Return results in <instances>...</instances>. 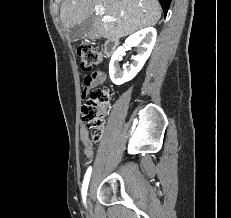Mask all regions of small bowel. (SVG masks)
I'll return each mask as SVG.
<instances>
[{
  "label": "small bowel",
  "mask_w": 231,
  "mask_h": 218,
  "mask_svg": "<svg viewBox=\"0 0 231 218\" xmlns=\"http://www.w3.org/2000/svg\"><path fill=\"white\" fill-rule=\"evenodd\" d=\"M90 74L92 75L86 76L84 79L83 97H85L92 88L101 85L106 80V74L103 71H99V69H90ZM79 140L85 156L90 158L94 153V144L89 137L86 126L83 124L79 127Z\"/></svg>",
  "instance_id": "c3829d8e"
}]
</instances>
